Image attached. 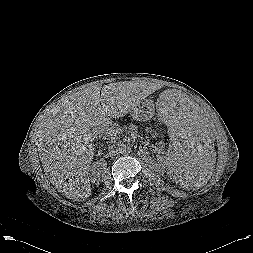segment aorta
Instances as JSON below:
<instances>
[{
	"instance_id": "762f6f07",
	"label": "aorta",
	"mask_w": 253,
	"mask_h": 253,
	"mask_svg": "<svg viewBox=\"0 0 253 253\" xmlns=\"http://www.w3.org/2000/svg\"><path fill=\"white\" fill-rule=\"evenodd\" d=\"M118 149L119 153L126 155L131 152V145L126 141H121L118 143Z\"/></svg>"
}]
</instances>
